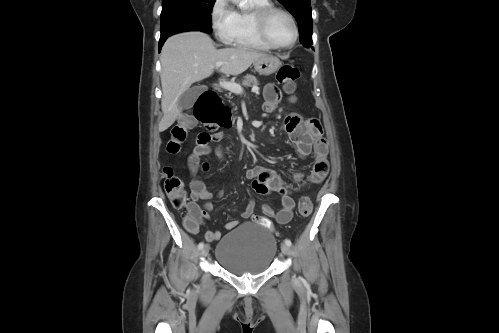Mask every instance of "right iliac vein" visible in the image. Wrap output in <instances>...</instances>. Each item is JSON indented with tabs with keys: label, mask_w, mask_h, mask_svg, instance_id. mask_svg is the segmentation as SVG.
<instances>
[{
	"label": "right iliac vein",
	"mask_w": 499,
	"mask_h": 333,
	"mask_svg": "<svg viewBox=\"0 0 499 333\" xmlns=\"http://www.w3.org/2000/svg\"><path fill=\"white\" fill-rule=\"evenodd\" d=\"M209 254V245H205L201 250V255L206 257Z\"/></svg>",
	"instance_id": "right-iliac-vein-1"
}]
</instances>
